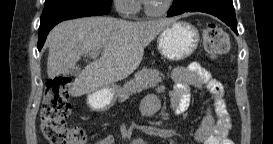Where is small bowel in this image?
Listing matches in <instances>:
<instances>
[{
	"label": "small bowel",
	"mask_w": 273,
	"mask_h": 144,
	"mask_svg": "<svg viewBox=\"0 0 273 144\" xmlns=\"http://www.w3.org/2000/svg\"><path fill=\"white\" fill-rule=\"evenodd\" d=\"M175 88L170 94L172 110L175 114L185 113L190 105V89L192 87L206 89L214 98L213 108H209L196 131L195 139L201 144H228L225 138L231 128V115L226 108L222 84L213 77L211 72L194 63L186 67L175 68L170 74ZM163 89L159 85L156 93L149 94L140 105L143 117L155 116L161 108L158 93ZM98 144H114L112 136L101 138Z\"/></svg>",
	"instance_id": "small-bowel-1"
}]
</instances>
